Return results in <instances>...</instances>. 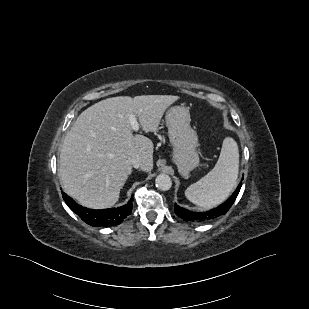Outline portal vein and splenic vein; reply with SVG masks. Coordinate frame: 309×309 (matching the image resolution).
Instances as JSON below:
<instances>
[{"instance_id": "1", "label": "portal vein and splenic vein", "mask_w": 309, "mask_h": 309, "mask_svg": "<svg viewBox=\"0 0 309 309\" xmlns=\"http://www.w3.org/2000/svg\"><path fill=\"white\" fill-rule=\"evenodd\" d=\"M129 121H130V124H131V127L134 131H138L139 129V123L137 122V118L135 115H130L129 117Z\"/></svg>"}]
</instances>
